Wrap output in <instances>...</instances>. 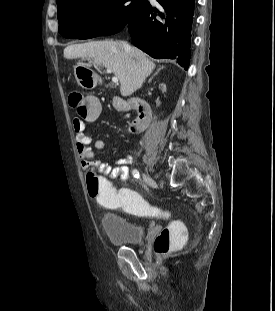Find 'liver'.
I'll return each instance as SVG.
<instances>
[{
    "mask_svg": "<svg viewBox=\"0 0 275 311\" xmlns=\"http://www.w3.org/2000/svg\"><path fill=\"white\" fill-rule=\"evenodd\" d=\"M125 44L120 41H93L70 45L64 49V57L92 59L103 65L119 79L121 95L129 96L142 86L155 64L141 50L135 47L128 50Z\"/></svg>",
    "mask_w": 275,
    "mask_h": 311,
    "instance_id": "obj_1",
    "label": "liver"
}]
</instances>
